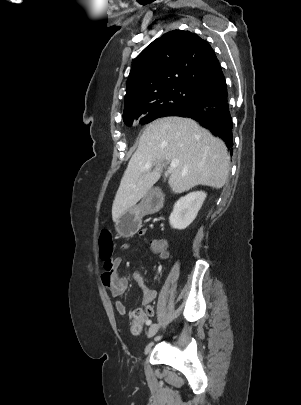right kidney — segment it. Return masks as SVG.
Wrapping results in <instances>:
<instances>
[{
  "instance_id": "right-kidney-1",
  "label": "right kidney",
  "mask_w": 301,
  "mask_h": 405,
  "mask_svg": "<svg viewBox=\"0 0 301 405\" xmlns=\"http://www.w3.org/2000/svg\"><path fill=\"white\" fill-rule=\"evenodd\" d=\"M206 196L205 192L196 191L181 197L170 214V226L178 230L187 228L196 218Z\"/></svg>"
}]
</instances>
